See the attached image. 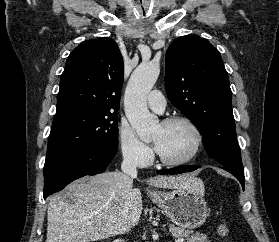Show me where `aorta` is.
<instances>
[{"instance_id": "obj_1", "label": "aorta", "mask_w": 279, "mask_h": 242, "mask_svg": "<svg viewBox=\"0 0 279 242\" xmlns=\"http://www.w3.org/2000/svg\"><path fill=\"white\" fill-rule=\"evenodd\" d=\"M160 73L159 65L142 63L133 72L124 96L125 114L139 138L149 141L158 128V118L147 108V95Z\"/></svg>"}]
</instances>
